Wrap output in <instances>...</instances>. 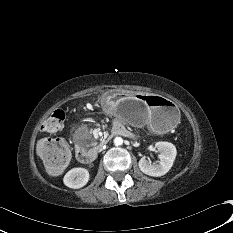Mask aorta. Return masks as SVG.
<instances>
[{
    "mask_svg": "<svg viewBox=\"0 0 233 233\" xmlns=\"http://www.w3.org/2000/svg\"><path fill=\"white\" fill-rule=\"evenodd\" d=\"M114 144H115L116 146L122 145V144H123V139H122L121 137H115V139H114Z\"/></svg>",
    "mask_w": 233,
    "mask_h": 233,
    "instance_id": "762f6f07",
    "label": "aorta"
}]
</instances>
